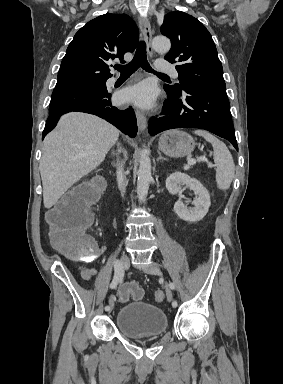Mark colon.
<instances>
[{
  "mask_svg": "<svg viewBox=\"0 0 283 384\" xmlns=\"http://www.w3.org/2000/svg\"><path fill=\"white\" fill-rule=\"evenodd\" d=\"M95 200L94 186L85 184L66 194L48 214L54 245L73 260L90 261L97 255V247L86 232L92 221L91 207ZM143 295V290L136 284H124L119 291L121 301L130 297L140 300ZM154 298L163 301L164 292L155 291Z\"/></svg>",
  "mask_w": 283,
  "mask_h": 384,
  "instance_id": "1",
  "label": "colon"
}]
</instances>
